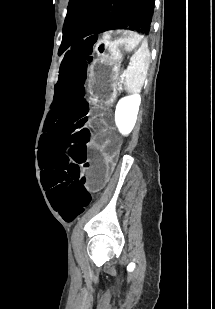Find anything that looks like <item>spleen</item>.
<instances>
[{
    "label": "spleen",
    "mask_w": 215,
    "mask_h": 309,
    "mask_svg": "<svg viewBox=\"0 0 215 309\" xmlns=\"http://www.w3.org/2000/svg\"><path fill=\"white\" fill-rule=\"evenodd\" d=\"M126 70V84L128 92H140L141 86L146 78L147 68L150 60V52L147 40H143L140 48L130 58Z\"/></svg>",
    "instance_id": "3e777b00"
}]
</instances>
